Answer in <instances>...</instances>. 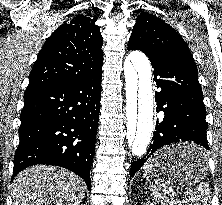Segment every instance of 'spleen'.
<instances>
[{"label": "spleen", "instance_id": "1", "mask_svg": "<svg viewBox=\"0 0 222 205\" xmlns=\"http://www.w3.org/2000/svg\"><path fill=\"white\" fill-rule=\"evenodd\" d=\"M153 158H150L142 167L143 176L149 179L153 169ZM155 183L150 186V190L153 192L154 198L160 205H181L175 198L169 195L168 191L162 188L161 183ZM184 195L188 197L186 201H182L186 205H210L211 192L209 186L205 182H201L198 186L193 189L184 191Z\"/></svg>", "mask_w": 222, "mask_h": 205}]
</instances>
